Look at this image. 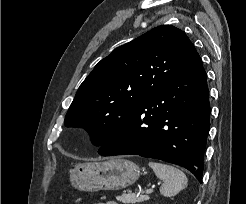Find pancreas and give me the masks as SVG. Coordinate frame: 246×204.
<instances>
[{"mask_svg":"<svg viewBox=\"0 0 246 204\" xmlns=\"http://www.w3.org/2000/svg\"><path fill=\"white\" fill-rule=\"evenodd\" d=\"M116 199L124 204H135L139 202H143L145 200H148L149 197L147 195H141L137 197L136 195H129L126 193H123L120 196H116Z\"/></svg>","mask_w":246,"mask_h":204,"instance_id":"obj_1","label":"pancreas"}]
</instances>
